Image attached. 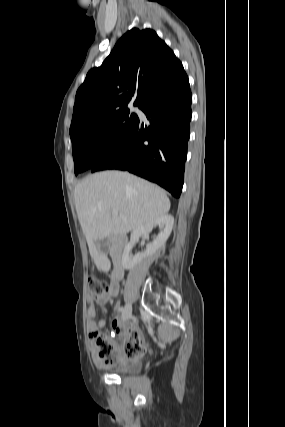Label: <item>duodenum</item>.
I'll return each instance as SVG.
<instances>
[{"label": "duodenum", "mask_w": 285, "mask_h": 427, "mask_svg": "<svg viewBox=\"0 0 285 427\" xmlns=\"http://www.w3.org/2000/svg\"><path fill=\"white\" fill-rule=\"evenodd\" d=\"M114 263H115V269L112 272V277L120 279L123 275L122 268L120 267V254L116 253L114 255Z\"/></svg>", "instance_id": "duodenum-1"}]
</instances>
